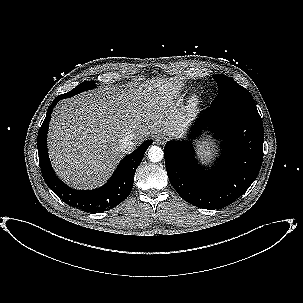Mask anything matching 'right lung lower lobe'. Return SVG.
I'll return each instance as SVG.
<instances>
[{
    "label": "right lung lower lobe",
    "mask_w": 303,
    "mask_h": 303,
    "mask_svg": "<svg viewBox=\"0 0 303 303\" xmlns=\"http://www.w3.org/2000/svg\"><path fill=\"white\" fill-rule=\"evenodd\" d=\"M64 98H66L64 95H59L54 99L39 129L37 146L43 179L48 187L68 205L91 213L107 211L120 204L130 194L135 171L147 148L152 144V140L145 141L134 152L124 157L104 186L89 191L72 189L65 185L55 174L47 151V132L51 113L57 102Z\"/></svg>",
    "instance_id": "obj_1"
}]
</instances>
